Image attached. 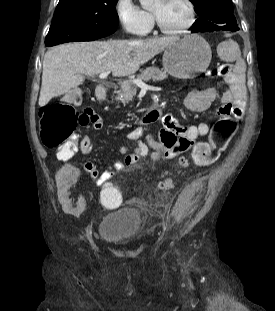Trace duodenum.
<instances>
[{
	"instance_id": "410a0bca",
	"label": "duodenum",
	"mask_w": 275,
	"mask_h": 311,
	"mask_svg": "<svg viewBox=\"0 0 275 311\" xmlns=\"http://www.w3.org/2000/svg\"><path fill=\"white\" fill-rule=\"evenodd\" d=\"M74 92H75V91H74ZM74 92H73V93H74ZM95 93H96V96H97L98 99H101V100L105 99L106 94H107V89H106L105 85H104V84H99V85L96 87ZM151 113H153V112L151 111L150 113H148V114L142 119V122H145V120L148 118V115L151 114Z\"/></svg>"
}]
</instances>
